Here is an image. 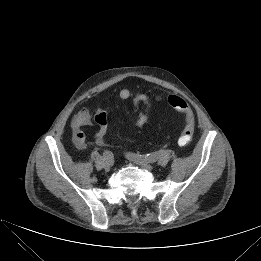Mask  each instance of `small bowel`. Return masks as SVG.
Here are the masks:
<instances>
[{
	"label": "small bowel",
	"mask_w": 261,
	"mask_h": 261,
	"mask_svg": "<svg viewBox=\"0 0 261 261\" xmlns=\"http://www.w3.org/2000/svg\"><path fill=\"white\" fill-rule=\"evenodd\" d=\"M132 98V108L122 107V110L126 113H135L141 105H144V111L139 115L136 124L137 126L144 125L150 115L152 98L149 93H138L132 97V92L128 88H123L118 93V99L124 104ZM114 107L119 109L117 103ZM108 107H98L96 109L95 116L92 120L91 113L87 107L81 108L71 121V130L73 141L77 148L84 149L86 147L87 136L83 132L82 128L86 125L95 123L98 127L97 132L93 136V140L97 145H103L105 140V135L107 133L108 127Z\"/></svg>",
	"instance_id": "1"
}]
</instances>
